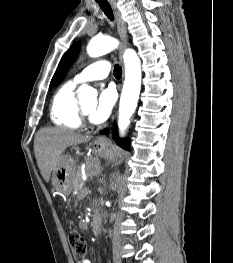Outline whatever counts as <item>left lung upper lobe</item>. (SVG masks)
<instances>
[{"mask_svg":"<svg viewBox=\"0 0 233 263\" xmlns=\"http://www.w3.org/2000/svg\"><path fill=\"white\" fill-rule=\"evenodd\" d=\"M80 45L78 43L73 44L70 49L63 55L58 68L51 80L50 87L52 88L59 78V76L75 61L78 56Z\"/></svg>","mask_w":233,"mask_h":263,"instance_id":"left-lung-upper-lobe-1","label":"left lung upper lobe"}]
</instances>
